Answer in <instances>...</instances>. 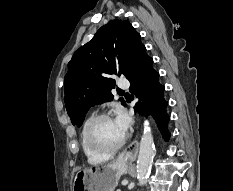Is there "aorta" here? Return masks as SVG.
I'll use <instances>...</instances> for the list:
<instances>
[{
    "mask_svg": "<svg viewBox=\"0 0 233 191\" xmlns=\"http://www.w3.org/2000/svg\"><path fill=\"white\" fill-rule=\"evenodd\" d=\"M154 155L155 147L152 131L149 123L145 122L137 160V179L140 186H144L149 178Z\"/></svg>",
    "mask_w": 233,
    "mask_h": 191,
    "instance_id": "obj_1",
    "label": "aorta"
}]
</instances>
